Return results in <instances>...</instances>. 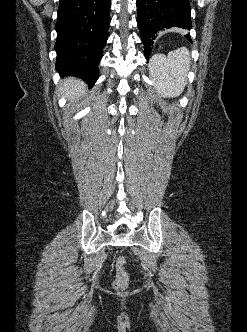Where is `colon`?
Here are the masks:
<instances>
[{
	"mask_svg": "<svg viewBox=\"0 0 247 332\" xmlns=\"http://www.w3.org/2000/svg\"><path fill=\"white\" fill-rule=\"evenodd\" d=\"M129 274L126 270V259L119 256L115 261V279L113 288L118 291H123L128 287Z\"/></svg>",
	"mask_w": 247,
	"mask_h": 332,
	"instance_id": "1",
	"label": "colon"
}]
</instances>
